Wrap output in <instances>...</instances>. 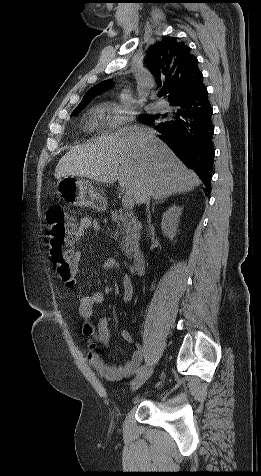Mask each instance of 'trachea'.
Listing matches in <instances>:
<instances>
[{
    "instance_id": "3493384b",
    "label": "trachea",
    "mask_w": 261,
    "mask_h": 476,
    "mask_svg": "<svg viewBox=\"0 0 261 476\" xmlns=\"http://www.w3.org/2000/svg\"><path fill=\"white\" fill-rule=\"evenodd\" d=\"M164 94H165V92H160V93H159V96L161 97V96H163Z\"/></svg>"
}]
</instances>
